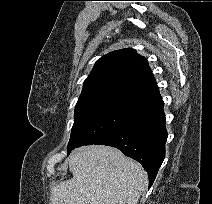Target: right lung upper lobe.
Listing matches in <instances>:
<instances>
[{"label": "right lung upper lobe", "mask_w": 212, "mask_h": 204, "mask_svg": "<svg viewBox=\"0 0 212 204\" xmlns=\"http://www.w3.org/2000/svg\"><path fill=\"white\" fill-rule=\"evenodd\" d=\"M159 96L147 60L127 48L112 51L95 63L76 105L105 98L145 105Z\"/></svg>", "instance_id": "right-lung-upper-lobe-1"}]
</instances>
